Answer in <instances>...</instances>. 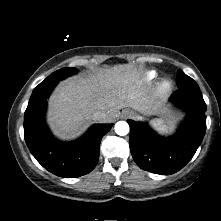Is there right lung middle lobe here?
Here are the masks:
<instances>
[{
	"instance_id": "dd1d6c3e",
	"label": "right lung middle lobe",
	"mask_w": 221,
	"mask_h": 221,
	"mask_svg": "<svg viewBox=\"0 0 221 221\" xmlns=\"http://www.w3.org/2000/svg\"><path fill=\"white\" fill-rule=\"evenodd\" d=\"M76 73V68H63L50 74L43 82H41L36 88L44 87L47 85L56 84L58 81Z\"/></svg>"
}]
</instances>
